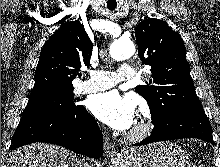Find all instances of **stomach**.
<instances>
[{"instance_id":"0dacf381","label":"stomach","mask_w":220,"mask_h":167,"mask_svg":"<svg viewBox=\"0 0 220 167\" xmlns=\"http://www.w3.org/2000/svg\"><path fill=\"white\" fill-rule=\"evenodd\" d=\"M117 163L119 167H192L186 152L173 142L129 149Z\"/></svg>"}]
</instances>
